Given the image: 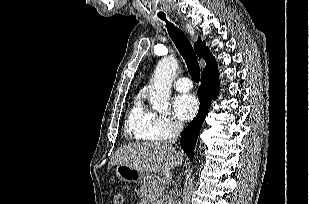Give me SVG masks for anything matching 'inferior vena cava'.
Listing matches in <instances>:
<instances>
[{
    "label": "inferior vena cava",
    "instance_id": "obj_1",
    "mask_svg": "<svg viewBox=\"0 0 309 204\" xmlns=\"http://www.w3.org/2000/svg\"><path fill=\"white\" fill-rule=\"evenodd\" d=\"M182 128H183V124L181 122H175L174 123L173 133H172L170 139L168 140V143H169L170 146L175 144L178 136L180 135V133L182 131ZM181 162L182 161L180 160L179 164H181ZM168 204H176V203L169 199Z\"/></svg>",
    "mask_w": 309,
    "mask_h": 204
}]
</instances>
